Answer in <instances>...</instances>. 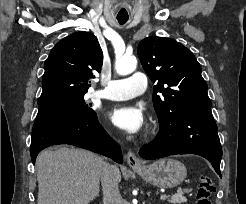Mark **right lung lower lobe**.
<instances>
[{"mask_svg": "<svg viewBox=\"0 0 246 204\" xmlns=\"http://www.w3.org/2000/svg\"><path fill=\"white\" fill-rule=\"evenodd\" d=\"M70 144L110 157L122 163L119 145L114 142L97 120L96 113L80 116L55 108H41L32 129L30 154L33 164L46 147Z\"/></svg>", "mask_w": 246, "mask_h": 204, "instance_id": "obj_1", "label": "right lung lower lobe"}]
</instances>
